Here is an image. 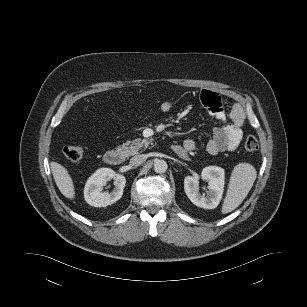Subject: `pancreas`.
I'll return each mask as SVG.
<instances>
[{
  "label": "pancreas",
  "mask_w": 307,
  "mask_h": 307,
  "mask_svg": "<svg viewBox=\"0 0 307 307\" xmlns=\"http://www.w3.org/2000/svg\"><path fill=\"white\" fill-rule=\"evenodd\" d=\"M151 141L148 139H135L133 141H127L119 146L117 149L120 151L125 157H129L135 154L140 153L142 150L146 149Z\"/></svg>",
  "instance_id": "pancreas-1"
}]
</instances>
